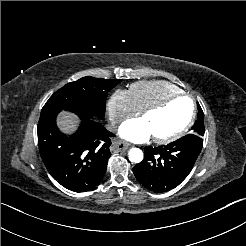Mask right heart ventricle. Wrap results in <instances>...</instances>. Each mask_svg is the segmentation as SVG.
I'll use <instances>...</instances> for the list:
<instances>
[{"label": "right heart ventricle", "mask_w": 246, "mask_h": 246, "mask_svg": "<svg viewBox=\"0 0 246 246\" xmlns=\"http://www.w3.org/2000/svg\"><path fill=\"white\" fill-rule=\"evenodd\" d=\"M128 92L135 111L142 112L151 105L181 93V90L164 81H140L130 85Z\"/></svg>", "instance_id": "obj_1"}]
</instances>
